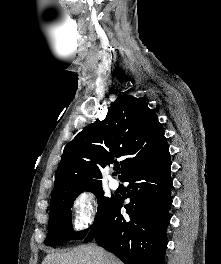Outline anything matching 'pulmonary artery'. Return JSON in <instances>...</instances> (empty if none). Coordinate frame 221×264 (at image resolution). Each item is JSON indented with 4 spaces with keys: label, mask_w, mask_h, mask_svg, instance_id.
<instances>
[{
    "label": "pulmonary artery",
    "mask_w": 221,
    "mask_h": 264,
    "mask_svg": "<svg viewBox=\"0 0 221 264\" xmlns=\"http://www.w3.org/2000/svg\"><path fill=\"white\" fill-rule=\"evenodd\" d=\"M109 186L112 188V189H117L119 187V181L115 178H111L109 180Z\"/></svg>",
    "instance_id": "e3ab8cb5"
}]
</instances>
